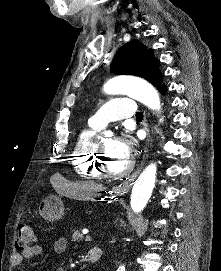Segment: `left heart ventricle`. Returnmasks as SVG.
<instances>
[{
  "instance_id": "1",
  "label": "left heart ventricle",
  "mask_w": 221,
  "mask_h": 271,
  "mask_svg": "<svg viewBox=\"0 0 221 271\" xmlns=\"http://www.w3.org/2000/svg\"><path fill=\"white\" fill-rule=\"evenodd\" d=\"M109 175H124L125 171L123 165L125 161L123 156H108V160H104Z\"/></svg>"
}]
</instances>
